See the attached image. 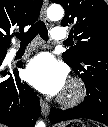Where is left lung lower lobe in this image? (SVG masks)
I'll return each instance as SVG.
<instances>
[{
  "label": "left lung lower lobe",
  "instance_id": "0a47b994",
  "mask_svg": "<svg viewBox=\"0 0 108 127\" xmlns=\"http://www.w3.org/2000/svg\"><path fill=\"white\" fill-rule=\"evenodd\" d=\"M103 63L108 65V56L103 57ZM93 67L88 65L85 72H89ZM93 73L94 76L90 78V82L85 83L87 90L85 100L80 105L64 111L51 108L49 116L51 123L87 118L108 125V75L103 70L98 74Z\"/></svg>",
  "mask_w": 108,
  "mask_h": 127
}]
</instances>
